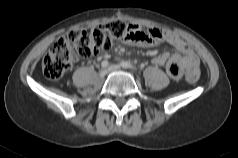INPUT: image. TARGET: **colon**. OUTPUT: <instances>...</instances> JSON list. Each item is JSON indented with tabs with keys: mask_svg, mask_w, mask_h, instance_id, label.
<instances>
[{
	"mask_svg": "<svg viewBox=\"0 0 238 158\" xmlns=\"http://www.w3.org/2000/svg\"><path fill=\"white\" fill-rule=\"evenodd\" d=\"M132 26L115 20L97 28L74 29L59 39L49 50L42 62L44 75L51 80L61 78L77 59L96 56L111 47L115 40H128ZM187 82L196 83L200 77L197 67L185 71Z\"/></svg>",
	"mask_w": 238,
	"mask_h": 158,
	"instance_id": "5ec220e1",
	"label": "colon"
}]
</instances>
